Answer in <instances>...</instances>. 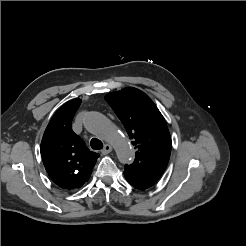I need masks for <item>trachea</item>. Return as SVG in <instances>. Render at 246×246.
Instances as JSON below:
<instances>
[{
	"label": "trachea",
	"instance_id": "1",
	"mask_svg": "<svg viewBox=\"0 0 246 246\" xmlns=\"http://www.w3.org/2000/svg\"><path fill=\"white\" fill-rule=\"evenodd\" d=\"M90 145L94 150H100L103 148V143L97 138H92L90 141Z\"/></svg>",
	"mask_w": 246,
	"mask_h": 246
}]
</instances>
